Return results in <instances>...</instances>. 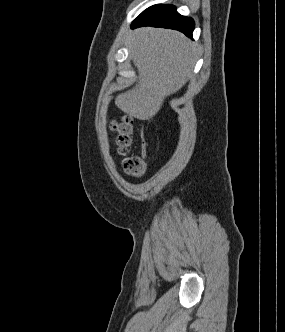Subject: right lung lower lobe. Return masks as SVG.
I'll return each instance as SVG.
<instances>
[{
	"label": "right lung lower lobe",
	"mask_w": 285,
	"mask_h": 332,
	"mask_svg": "<svg viewBox=\"0 0 285 332\" xmlns=\"http://www.w3.org/2000/svg\"><path fill=\"white\" fill-rule=\"evenodd\" d=\"M141 26L175 29L192 38L194 21L178 14L172 5H154L143 11L131 24L133 29Z\"/></svg>",
	"instance_id": "98d812e1"
}]
</instances>
